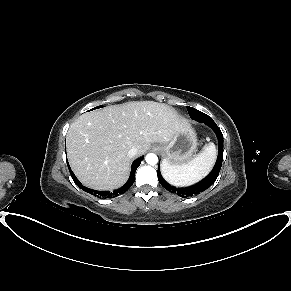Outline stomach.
Returning <instances> with one entry per match:
<instances>
[{"label": "stomach", "mask_w": 291, "mask_h": 291, "mask_svg": "<svg viewBox=\"0 0 291 291\" xmlns=\"http://www.w3.org/2000/svg\"><path fill=\"white\" fill-rule=\"evenodd\" d=\"M196 146V134L188 124L183 130L177 132L168 143L159 145L157 148L162 152L164 161L172 165H181L190 160Z\"/></svg>", "instance_id": "obj_1"}]
</instances>
